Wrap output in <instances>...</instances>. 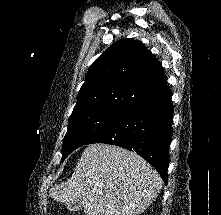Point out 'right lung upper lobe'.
<instances>
[{"mask_svg":"<svg viewBox=\"0 0 221 215\" xmlns=\"http://www.w3.org/2000/svg\"><path fill=\"white\" fill-rule=\"evenodd\" d=\"M166 84L152 53L139 41L122 39L91 65L72 113L99 110L123 115Z\"/></svg>","mask_w":221,"mask_h":215,"instance_id":"obj_1","label":"right lung upper lobe"}]
</instances>
